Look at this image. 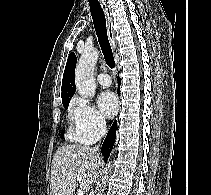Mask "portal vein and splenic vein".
I'll return each instance as SVG.
<instances>
[{
  "label": "portal vein and splenic vein",
  "instance_id": "obj_1",
  "mask_svg": "<svg viewBox=\"0 0 211 195\" xmlns=\"http://www.w3.org/2000/svg\"><path fill=\"white\" fill-rule=\"evenodd\" d=\"M80 179H81L80 176H78L77 180L80 181ZM77 195H84V190L83 189L78 190V194Z\"/></svg>",
  "mask_w": 211,
  "mask_h": 195
}]
</instances>
